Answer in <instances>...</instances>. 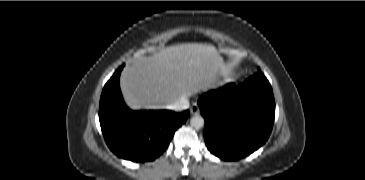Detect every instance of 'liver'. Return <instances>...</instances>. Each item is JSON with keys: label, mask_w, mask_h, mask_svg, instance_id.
Here are the masks:
<instances>
[{"label": "liver", "mask_w": 365, "mask_h": 180, "mask_svg": "<svg viewBox=\"0 0 365 180\" xmlns=\"http://www.w3.org/2000/svg\"><path fill=\"white\" fill-rule=\"evenodd\" d=\"M228 68L215 46L185 43L166 47L127 67L120 79L132 109H161L206 89Z\"/></svg>", "instance_id": "1"}]
</instances>
